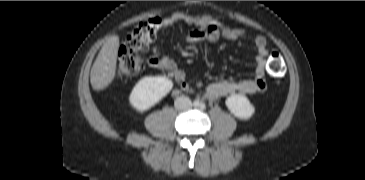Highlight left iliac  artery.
Segmentation results:
<instances>
[{
	"label": "left iliac artery",
	"instance_id": "obj_1",
	"mask_svg": "<svg viewBox=\"0 0 365 180\" xmlns=\"http://www.w3.org/2000/svg\"><path fill=\"white\" fill-rule=\"evenodd\" d=\"M200 110H204L206 108V105L204 103H201L199 105Z\"/></svg>",
	"mask_w": 365,
	"mask_h": 180
}]
</instances>
